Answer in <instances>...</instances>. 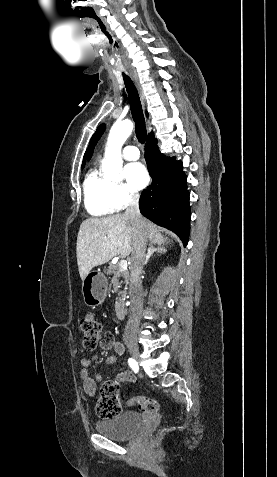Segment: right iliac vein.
<instances>
[{"label":"right iliac vein","instance_id":"63e3f726","mask_svg":"<svg viewBox=\"0 0 277 477\" xmlns=\"http://www.w3.org/2000/svg\"><path fill=\"white\" fill-rule=\"evenodd\" d=\"M127 347H128V350H129L131 356L135 360H139L140 352H139V348H138L137 344L134 341H128L127 342Z\"/></svg>","mask_w":277,"mask_h":477}]
</instances>
